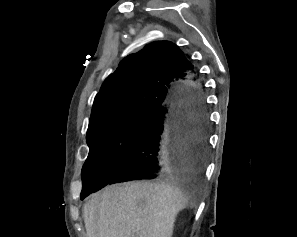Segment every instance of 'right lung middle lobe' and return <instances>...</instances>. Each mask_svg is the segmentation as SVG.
<instances>
[{
	"label": "right lung middle lobe",
	"mask_w": 297,
	"mask_h": 237,
	"mask_svg": "<svg viewBox=\"0 0 297 237\" xmlns=\"http://www.w3.org/2000/svg\"><path fill=\"white\" fill-rule=\"evenodd\" d=\"M150 112H135L105 119L87 130L89 155L82 168L81 199L104 186L116 164L143 130Z\"/></svg>",
	"instance_id": "1"
}]
</instances>
